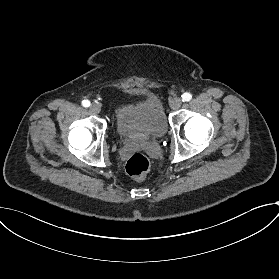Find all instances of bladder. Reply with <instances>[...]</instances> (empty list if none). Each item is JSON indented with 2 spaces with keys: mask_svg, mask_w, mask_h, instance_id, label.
Returning <instances> with one entry per match:
<instances>
[{
  "mask_svg": "<svg viewBox=\"0 0 279 279\" xmlns=\"http://www.w3.org/2000/svg\"><path fill=\"white\" fill-rule=\"evenodd\" d=\"M113 120L121 138L128 141L157 139L168 130V120L159 97L141 91L129 102L114 106Z\"/></svg>",
  "mask_w": 279,
  "mask_h": 279,
  "instance_id": "obj_1",
  "label": "bladder"
}]
</instances>
